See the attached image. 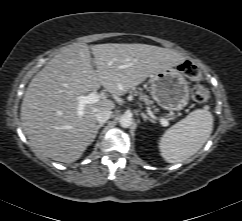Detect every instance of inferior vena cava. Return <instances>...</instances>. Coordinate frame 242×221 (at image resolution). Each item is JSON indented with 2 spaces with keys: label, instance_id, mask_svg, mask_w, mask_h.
<instances>
[{
  "label": "inferior vena cava",
  "instance_id": "obj_1",
  "mask_svg": "<svg viewBox=\"0 0 242 221\" xmlns=\"http://www.w3.org/2000/svg\"><path fill=\"white\" fill-rule=\"evenodd\" d=\"M111 110L106 108H99L96 110L95 117L97 122L105 123L111 117Z\"/></svg>",
  "mask_w": 242,
  "mask_h": 221
}]
</instances>
